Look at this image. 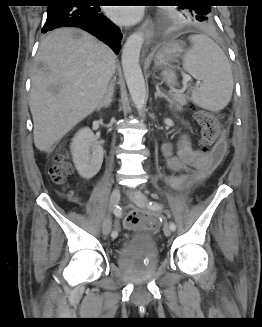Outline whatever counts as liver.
Here are the masks:
<instances>
[{"instance_id":"1","label":"liver","mask_w":262,"mask_h":327,"mask_svg":"<svg viewBox=\"0 0 262 327\" xmlns=\"http://www.w3.org/2000/svg\"><path fill=\"white\" fill-rule=\"evenodd\" d=\"M115 68L113 51L85 31L61 28L43 39L29 100L38 150L51 151L98 108Z\"/></svg>"}]
</instances>
